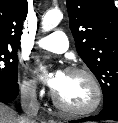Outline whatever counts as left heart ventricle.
I'll return each mask as SVG.
<instances>
[{"instance_id": "1", "label": "left heart ventricle", "mask_w": 118, "mask_h": 123, "mask_svg": "<svg viewBox=\"0 0 118 123\" xmlns=\"http://www.w3.org/2000/svg\"><path fill=\"white\" fill-rule=\"evenodd\" d=\"M67 106L84 108L94 100V90L88 79L81 74L65 73L61 86L55 91Z\"/></svg>"}]
</instances>
